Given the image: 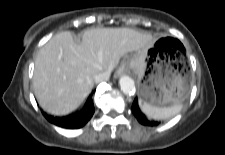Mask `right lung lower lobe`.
Returning <instances> with one entry per match:
<instances>
[{
    "instance_id": "1",
    "label": "right lung lower lobe",
    "mask_w": 225,
    "mask_h": 155,
    "mask_svg": "<svg viewBox=\"0 0 225 155\" xmlns=\"http://www.w3.org/2000/svg\"><path fill=\"white\" fill-rule=\"evenodd\" d=\"M42 113L49 122L57 126H60L63 128H69V129L83 127L91 119L92 115L94 114L92 94L89 95L83 109L77 114L70 115L68 117L59 118V117H53L51 115H47L43 111Z\"/></svg>"
}]
</instances>
